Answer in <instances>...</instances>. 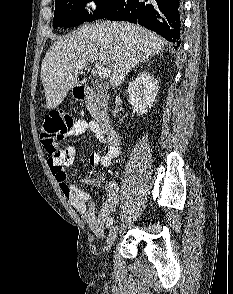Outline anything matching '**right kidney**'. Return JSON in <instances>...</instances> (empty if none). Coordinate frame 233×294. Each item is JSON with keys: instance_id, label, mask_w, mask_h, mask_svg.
<instances>
[{"instance_id": "right-kidney-1", "label": "right kidney", "mask_w": 233, "mask_h": 294, "mask_svg": "<svg viewBox=\"0 0 233 294\" xmlns=\"http://www.w3.org/2000/svg\"><path fill=\"white\" fill-rule=\"evenodd\" d=\"M159 91L158 81L148 72L138 73L128 85L129 103L142 116L151 109Z\"/></svg>"}]
</instances>
